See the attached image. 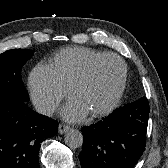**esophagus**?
I'll list each match as a JSON object with an SVG mask.
<instances>
[{"label":"esophagus","instance_id":"obj_1","mask_svg":"<svg viewBox=\"0 0 168 168\" xmlns=\"http://www.w3.org/2000/svg\"><path fill=\"white\" fill-rule=\"evenodd\" d=\"M69 129H70V127H69L68 125H65V124H60V125L58 126V132H59L60 134L66 133Z\"/></svg>","mask_w":168,"mask_h":168}]
</instances>
